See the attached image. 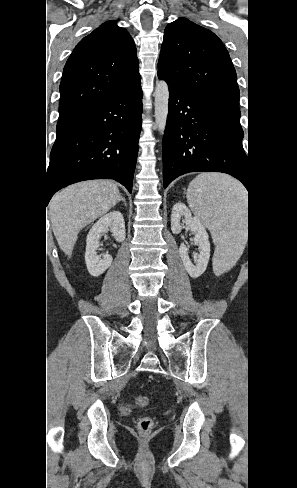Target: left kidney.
I'll return each mask as SVG.
<instances>
[{"mask_svg":"<svg viewBox=\"0 0 297 488\" xmlns=\"http://www.w3.org/2000/svg\"><path fill=\"white\" fill-rule=\"evenodd\" d=\"M181 220L183 223H181ZM185 224V225H184ZM185 226L194 232V243L199 247V255L195 264H192L188 256V248L184 243L180 245L179 255L184 267L192 278L201 276L208 265L210 258L209 236L205 226L196 217H193L185 204L178 202L174 205L171 214V230L174 234H179Z\"/></svg>","mask_w":297,"mask_h":488,"instance_id":"1","label":"left kidney"}]
</instances>
